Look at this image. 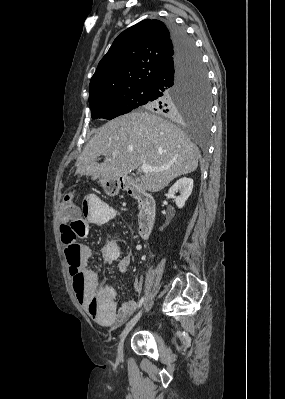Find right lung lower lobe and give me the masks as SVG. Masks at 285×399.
<instances>
[{"label":"right lung lower lobe","mask_w":285,"mask_h":399,"mask_svg":"<svg viewBox=\"0 0 285 399\" xmlns=\"http://www.w3.org/2000/svg\"><path fill=\"white\" fill-rule=\"evenodd\" d=\"M168 28L171 33L175 54L168 66L163 69L151 82V93L155 97H165L166 94L181 80L185 70L193 61L196 47L184 28L170 23ZM164 106L170 112L173 109L171 100H164Z\"/></svg>","instance_id":"obj_1"}]
</instances>
